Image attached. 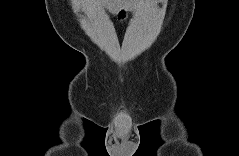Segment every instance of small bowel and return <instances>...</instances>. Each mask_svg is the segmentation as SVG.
<instances>
[{"label":"small bowel","instance_id":"small-bowel-1","mask_svg":"<svg viewBox=\"0 0 239 156\" xmlns=\"http://www.w3.org/2000/svg\"><path fill=\"white\" fill-rule=\"evenodd\" d=\"M101 5L115 14L119 21H125L128 13H134L141 9L143 2L140 0H107Z\"/></svg>","mask_w":239,"mask_h":156}]
</instances>
